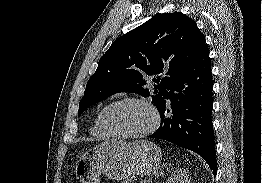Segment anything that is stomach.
<instances>
[{
    "label": "stomach",
    "mask_w": 262,
    "mask_h": 183,
    "mask_svg": "<svg viewBox=\"0 0 262 183\" xmlns=\"http://www.w3.org/2000/svg\"><path fill=\"white\" fill-rule=\"evenodd\" d=\"M162 150L148 140H106L85 152L76 162L74 174L80 183H100L104 175L113 180L156 172Z\"/></svg>",
    "instance_id": "obj_1"
}]
</instances>
